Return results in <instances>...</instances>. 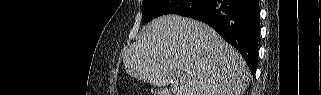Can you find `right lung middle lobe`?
Instances as JSON below:
<instances>
[{
    "mask_svg": "<svg viewBox=\"0 0 321 95\" xmlns=\"http://www.w3.org/2000/svg\"><path fill=\"white\" fill-rule=\"evenodd\" d=\"M207 0H143L142 23L165 14L181 16L196 13Z\"/></svg>",
    "mask_w": 321,
    "mask_h": 95,
    "instance_id": "1",
    "label": "right lung middle lobe"
}]
</instances>
